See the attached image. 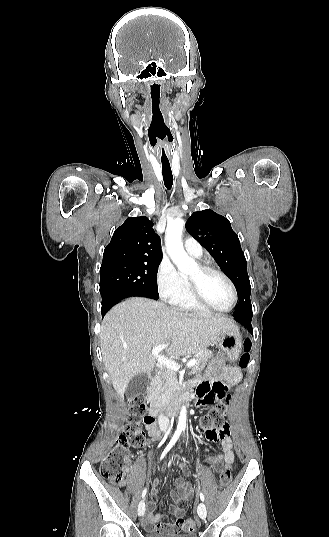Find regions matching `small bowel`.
<instances>
[{
    "instance_id": "obj_1",
    "label": "small bowel",
    "mask_w": 329,
    "mask_h": 537,
    "mask_svg": "<svg viewBox=\"0 0 329 537\" xmlns=\"http://www.w3.org/2000/svg\"><path fill=\"white\" fill-rule=\"evenodd\" d=\"M221 359L214 360L209 367L203 381L196 383V388L193 391L196 397V408L201 410L203 405L212 406L218 404L220 399H225L231 395L232 390L229 388L226 382L216 381L222 370ZM225 376L229 384H236L241 380L242 374L239 368L233 366L225 367ZM147 431L151 435L157 434V428L154 424L150 423L146 425ZM205 438L214 443L221 444L222 453L216 456H212L208 459V462L213 466L224 464L225 466H231L234 461L233 442L230 437L229 425L226 424L221 430L212 431L211 433L205 432ZM185 475L189 474V469L183 466ZM175 487L177 491L170 493L172 504L169 505V510L176 517V519L170 518L166 515L155 513L156 509V497L158 494V488L160 481L155 480L151 489V500L147 503V513L143 519V526L147 532L158 533H176L183 530L182 519L184 515V509L182 506L187 504V501L194 496V490L192 484L184 477H178L175 479ZM162 519H165V523H160Z\"/></svg>"
}]
</instances>
